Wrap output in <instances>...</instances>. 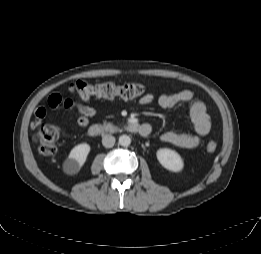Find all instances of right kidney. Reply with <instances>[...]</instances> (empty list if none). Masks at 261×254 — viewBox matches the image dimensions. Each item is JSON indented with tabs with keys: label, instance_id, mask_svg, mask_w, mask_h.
<instances>
[{
	"label": "right kidney",
	"instance_id": "obj_1",
	"mask_svg": "<svg viewBox=\"0 0 261 254\" xmlns=\"http://www.w3.org/2000/svg\"><path fill=\"white\" fill-rule=\"evenodd\" d=\"M90 149V145L87 143L76 145L69 153L67 169L72 172L79 171L86 162Z\"/></svg>",
	"mask_w": 261,
	"mask_h": 254
}]
</instances>
